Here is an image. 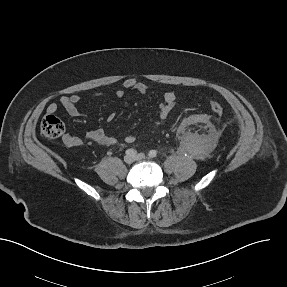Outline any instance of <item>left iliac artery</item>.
Segmentation results:
<instances>
[{
  "instance_id": "1",
  "label": "left iliac artery",
  "mask_w": 287,
  "mask_h": 287,
  "mask_svg": "<svg viewBox=\"0 0 287 287\" xmlns=\"http://www.w3.org/2000/svg\"><path fill=\"white\" fill-rule=\"evenodd\" d=\"M148 155H149V157L154 158L157 156V151L156 150H150Z\"/></svg>"
}]
</instances>
